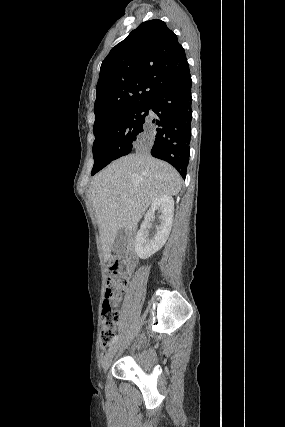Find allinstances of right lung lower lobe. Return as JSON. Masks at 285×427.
I'll use <instances>...</instances> for the list:
<instances>
[{"label": "right lung lower lobe", "instance_id": "1", "mask_svg": "<svg viewBox=\"0 0 285 427\" xmlns=\"http://www.w3.org/2000/svg\"><path fill=\"white\" fill-rule=\"evenodd\" d=\"M191 86L189 72L179 82L151 98L147 109L154 112L155 117L147 115L143 131L151 133L154 138L150 154L170 163L184 179L191 139Z\"/></svg>", "mask_w": 285, "mask_h": 427}]
</instances>
